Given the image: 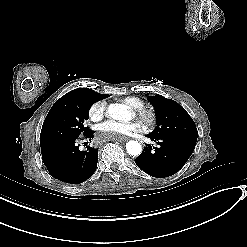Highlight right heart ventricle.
Wrapping results in <instances>:
<instances>
[{"label":"right heart ventricle","instance_id":"obj_1","mask_svg":"<svg viewBox=\"0 0 247 247\" xmlns=\"http://www.w3.org/2000/svg\"><path fill=\"white\" fill-rule=\"evenodd\" d=\"M120 101L123 105L129 108L132 114L134 111H138L140 108L144 107L145 105L143 100L137 97H124L120 99Z\"/></svg>","mask_w":247,"mask_h":247}]
</instances>
